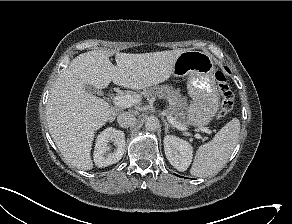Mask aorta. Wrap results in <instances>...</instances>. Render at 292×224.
I'll return each instance as SVG.
<instances>
[{"label": "aorta", "mask_w": 292, "mask_h": 224, "mask_svg": "<svg viewBox=\"0 0 292 224\" xmlns=\"http://www.w3.org/2000/svg\"><path fill=\"white\" fill-rule=\"evenodd\" d=\"M145 127L149 131H154L159 127V121L156 117H148L145 122Z\"/></svg>", "instance_id": "762f6f07"}]
</instances>
